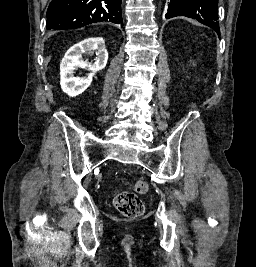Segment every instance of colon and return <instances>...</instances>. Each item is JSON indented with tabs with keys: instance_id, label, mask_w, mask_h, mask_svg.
<instances>
[{
	"instance_id": "obj_1",
	"label": "colon",
	"mask_w": 256,
	"mask_h": 267,
	"mask_svg": "<svg viewBox=\"0 0 256 267\" xmlns=\"http://www.w3.org/2000/svg\"><path fill=\"white\" fill-rule=\"evenodd\" d=\"M135 192H147L149 187L144 181H138L134 184ZM116 210L124 217L135 218L143 214L145 204L133 193H126L121 197L114 198Z\"/></svg>"
}]
</instances>
